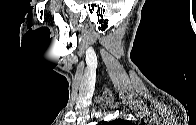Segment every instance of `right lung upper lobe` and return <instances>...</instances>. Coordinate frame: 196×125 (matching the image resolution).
Wrapping results in <instances>:
<instances>
[{
    "mask_svg": "<svg viewBox=\"0 0 196 125\" xmlns=\"http://www.w3.org/2000/svg\"><path fill=\"white\" fill-rule=\"evenodd\" d=\"M110 123L111 124H116V125L117 124L121 125V124H126L127 122L124 121V120L118 119V120L111 121Z\"/></svg>",
    "mask_w": 196,
    "mask_h": 125,
    "instance_id": "obj_1",
    "label": "right lung upper lobe"
}]
</instances>
